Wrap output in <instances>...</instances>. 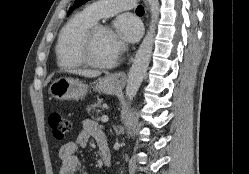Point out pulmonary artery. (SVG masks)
Wrapping results in <instances>:
<instances>
[{
    "mask_svg": "<svg viewBox=\"0 0 249 174\" xmlns=\"http://www.w3.org/2000/svg\"><path fill=\"white\" fill-rule=\"evenodd\" d=\"M134 3L135 0H98L87 6L85 13L98 21L120 11L132 10Z\"/></svg>",
    "mask_w": 249,
    "mask_h": 174,
    "instance_id": "pulmonary-artery-1",
    "label": "pulmonary artery"
}]
</instances>
